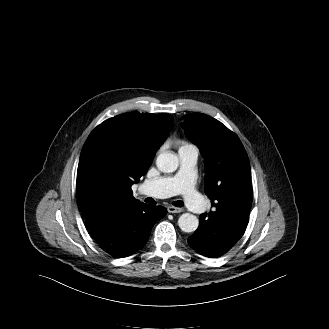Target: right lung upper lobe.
I'll return each mask as SVG.
<instances>
[{"label":"right lung upper lobe","mask_w":329,"mask_h":329,"mask_svg":"<svg viewBox=\"0 0 329 329\" xmlns=\"http://www.w3.org/2000/svg\"><path fill=\"white\" fill-rule=\"evenodd\" d=\"M172 124L169 114L125 113L91 132L77 170V192L85 218L104 207L139 202L131 186L147 173Z\"/></svg>","instance_id":"cb5924a9"}]
</instances>
